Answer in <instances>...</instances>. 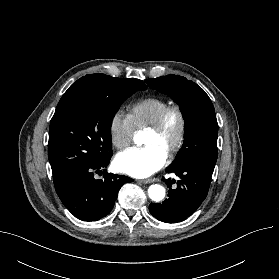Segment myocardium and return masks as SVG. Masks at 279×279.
I'll use <instances>...</instances> for the list:
<instances>
[{
	"mask_svg": "<svg viewBox=\"0 0 279 279\" xmlns=\"http://www.w3.org/2000/svg\"><path fill=\"white\" fill-rule=\"evenodd\" d=\"M171 115H176L179 120V132L176 142L167 154L168 157H173L183 146L186 135V117L178 105H169L158 116L156 121L148 127V131L160 132L162 131Z\"/></svg>",
	"mask_w": 279,
	"mask_h": 279,
	"instance_id": "myocardium-1",
	"label": "myocardium"
}]
</instances>
